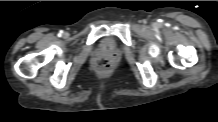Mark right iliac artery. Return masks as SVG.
Instances as JSON below:
<instances>
[{"label":"right iliac artery","mask_w":218,"mask_h":122,"mask_svg":"<svg viewBox=\"0 0 218 122\" xmlns=\"http://www.w3.org/2000/svg\"><path fill=\"white\" fill-rule=\"evenodd\" d=\"M63 34V31L60 30L59 33H58V36H61Z\"/></svg>","instance_id":"1"}]
</instances>
